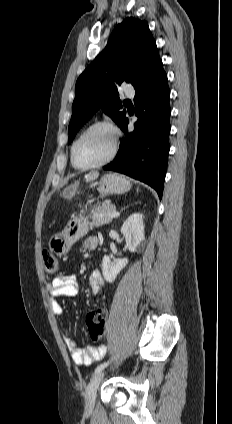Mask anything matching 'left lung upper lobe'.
<instances>
[{
    "mask_svg": "<svg viewBox=\"0 0 232 424\" xmlns=\"http://www.w3.org/2000/svg\"><path fill=\"white\" fill-rule=\"evenodd\" d=\"M160 61L146 21L128 17L117 25L105 49L76 82L68 143L104 104V112L120 127L126 111L122 110L118 86L125 81L137 87Z\"/></svg>",
    "mask_w": 232,
    "mask_h": 424,
    "instance_id": "obj_1",
    "label": "left lung upper lobe"
}]
</instances>
